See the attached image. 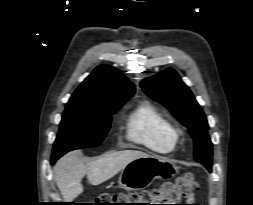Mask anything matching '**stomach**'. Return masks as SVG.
Returning <instances> with one entry per match:
<instances>
[{
	"label": "stomach",
	"mask_w": 253,
	"mask_h": 205,
	"mask_svg": "<svg viewBox=\"0 0 253 205\" xmlns=\"http://www.w3.org/2000/svg\"><path fill=\"white\" fill-rule=\"evenodd\" d=\"M178 167L158 156H143L132 160L121 171L119 187L125 190H141L150 186L155 179L170 178Z\"/></svg>",
	"instance_id": "0dacf381"
}]
</instances>
